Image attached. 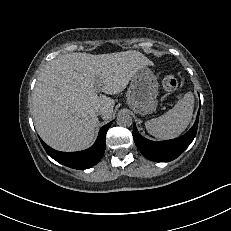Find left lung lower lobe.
Returning a JSON list of instances; mask_svg holds the SVG:
<instances>
[{
	"label": "left lung lower lobe",
	"mask_w": 231,
	"mask_h": 231,
	"mask_svg": "<svg viewBox=\"0 0 231 231\" xmlns=\"http://www.w3.org/2000/svg\"><path fill=\"white\" fill-rule=\"evenodd\" d=\"M199 112L193 127L183 136L167 140L154 142L142 137L134 124L133 138L137 148L149 160L156 162H168L177 158L191 144L196 136Z\"/></svg>",
	"instance_id": "left-lung-lower-lobe-1"
}]
</instances>
